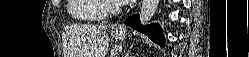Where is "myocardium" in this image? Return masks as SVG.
Listing matches in <instances>:
<instances>
[{"label": "myocardium", "mask_w": 249, "mask_h": 57, "mask_svg": "<svg viewBox=\"0 0 249 57\" xmlns=\"http://www.w3.org/2000/svg\"><path fill=\"white\" fill-rule=\"evenodd\" d=\"M114 0H99L100 10L105 16H114L122 11V4L115 3Z\"/></svg>", "instance_id": "1"}]
</instances>
